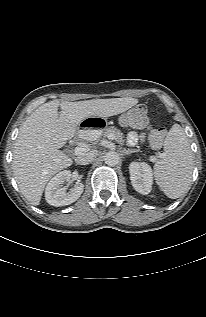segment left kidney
<instances>
[{"instance_id":"obj_1","label":"left kidney","mask_w":206,"mask_h":317,"mask_svg":"<svg viewBox=\"0 0 206 317\" xmlns=\"http://www.w3.org/2000/svg\"><path fill=\"white\" fill-rule=\"evenodd\" d=\"M130 180L134 189L143 194H149L152 190V171L145 162H132L129 166Z\"/></svg>"}]
</instances>
